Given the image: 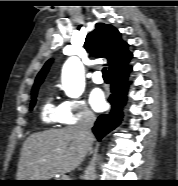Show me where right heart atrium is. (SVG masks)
<instances>
[{
	"label": "right heart atrium",
	"mask_w": 178,
	"mask_h": 186,
	"mask_svg": "<svg viewBox=\"0 0 178 186\" xmlns=\"http://www.w3.org/2000/svg\"><path fill=\"white\" fill-rule=\"evenodd\" d=\"M61 117L65 124L90 123L95 115L82 99H67L60 105Z\"/></svg>",
	"instance_id": "right-heart-atrium-1"
}]
</instances>
